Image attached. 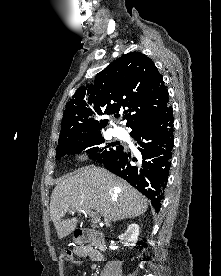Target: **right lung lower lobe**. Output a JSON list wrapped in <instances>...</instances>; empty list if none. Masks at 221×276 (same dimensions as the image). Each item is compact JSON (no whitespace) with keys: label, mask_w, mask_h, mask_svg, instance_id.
Instances as JSON below:
<instances>
[{"label":"right lung lower lobe","mask_w":221,"mask_h":276,"mask_svg":"<svg viewBox=\"0 0 221 276\" xmlns=\"http://www.w3.org/2000/svg\"><path fill=\"white\" fill-rule=\"evenodd\" d=\"M131 129L130 135L139 145V160L122 150L103 165L137 188L159 212L174 146L172 107L168 106L158 117Z\"/></svg>","instance_id":"98d812e1"}]
</instances>
